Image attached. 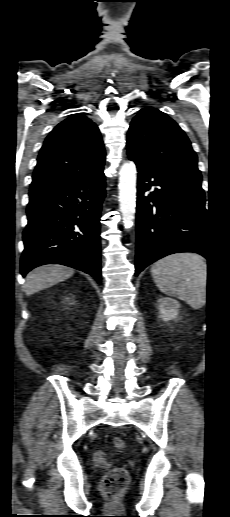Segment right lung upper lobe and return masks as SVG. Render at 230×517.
Returning <instances> with one entry per match:
<instances>
[{"label":"right lung upper lobe","mask_w":230,"mask_h":517,"mask_svg":"<svg viewBox=\"0 0 230 517\" xmlns=\"http://www.w3.org/2000/svg\"><path fill=\"white\" fill-rule=\"evenodd\" d=\"M105 149L97 125L84 115L59 123L45 139L30 191L83 179L103 169Z\"/></svg>","instance_id":"right-lung-upper-lobe-1"}]
</instances>
